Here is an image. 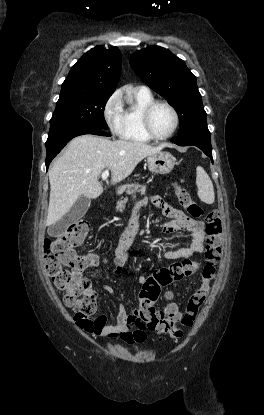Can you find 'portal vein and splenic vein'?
Masks as SVG:
<instances>
[{
    "label": "portal vein and splenic vein",
    "instance_id": "1",
    "mask_svg": "<svg viewBox=\"0 0 264 415\" xmlns=\"http://www.w3.org/2000/svg\"><path fill=\"white\" fill-rule=\"evenodd\" d=\"M108 176H109V170H104L101 175L102 180L104 181L107 180Z\"/></svg>",
    "mask_w": 264,
    "mask_h": 415
}]
</instances>
